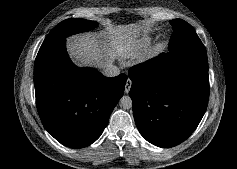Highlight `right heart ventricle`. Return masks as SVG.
<instances>
[{"instance_id":"1","label":"right heart ventricle","mask_w":237,"mask_h":169,"mask_svg":"<svg viewBox=\"0 0 237 169\" xmlns=\"http://www.w3.org/2000/svg\"><path fill=\"white\" fill-rule=\"evenodd\" d=\"M151 37H143L128 43L123 49L122 54L127 58H136L148 47L151 43Z\"/></svg>"}]
</instances>
